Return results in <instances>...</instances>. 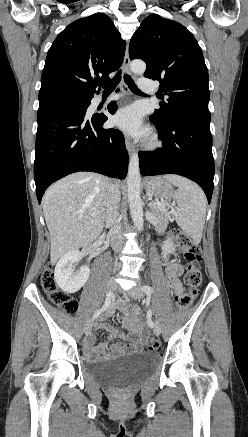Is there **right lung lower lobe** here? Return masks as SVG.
Wrapping results in <instances>:
<instances>
[{
  "label": "right lung lower lobe",
  "mask_w": 248,
  "mask_h": 437,
  "mask_svg": "<svg viewBox=\"0 0 248 437\" xmlns=\"http://www.w3.org/2000/svg\"><path fill=\"white\" fill-rule=\"evenodd\" d=\"M92 99V97H90ZM48 101L39 104L34 179L41 202L45 190L56 180L78 171H92L124 179L129 156L123 134L104 129V114L85 117L88 106ZM114 114V102L108 105Z\"/></svg>",
  "instance_id": "obj_1"
}]
</instances>
